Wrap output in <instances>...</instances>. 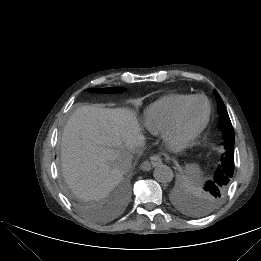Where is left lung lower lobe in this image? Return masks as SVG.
<instances>
[{"label":"left lung lower lobe","mask_w":261,"mask_h":261,"mask_svg":"<svg viewBox=\"0 0 261 261\" xmlns=\"http://www.w3.org/2000/svg\"><path fill=\"white\" fill-rule=\"evenodd\" d=\"M228 153V152H227ZM224 154H222V163H221V166L223 167V169L226 171V173H228L229 175L233 176V172H234V160H232V154L229 153L227 155L228 157V160L227 159H224L225 155L223 156Z\"/></svg>","instance_id":"left-lung-lower-lobe-1"}]
</instances>
